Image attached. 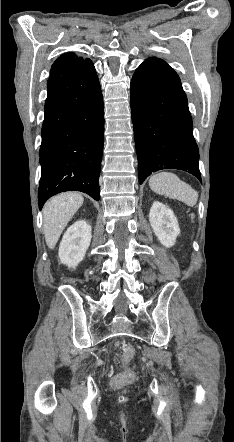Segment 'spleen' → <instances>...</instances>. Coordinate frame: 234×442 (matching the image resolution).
I'll use <instances>...</instances> for the list:
<instances>
[{
    "label": "spleen",
    "mask_w": 234,
    "mask_h": 442,
    "mask_svg": "<svg viewBox=\"0 0 234 442\" xmlns=\"http://www.w3.org/2000/svg\"><path fill=\"white\" fill-rule=\"evenodd\" d=\"M149 186L155 193L180 200L187 206H194L198 200L197 191L171 172L153 174L149 179Z\"/></svg>",
    "instance_id": "1"
}]
</instances>
